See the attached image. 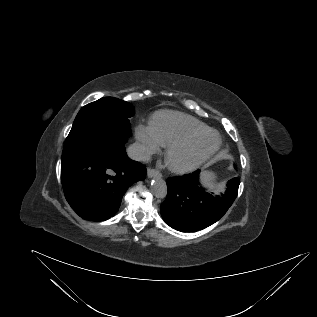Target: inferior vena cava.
Segmentation results:
<instances>
[{
    "mask_svg": "<svg viewBox=\"0 0 317 317\" xmlns=\"http://www.w3.org/2000/svg\"><path fill=\"white\" fill-rule=\"evenodd\" d=\"M127 154L131 159L136 161L147 162L151 158L150 152L146 147L137 142L128 147Z\"/></svg>",
    "mask_w": 317,
    "mask_h": 317,
    "instance_id": "602c4592",
    "label": "inferior vena cava"
}]
</instances>
